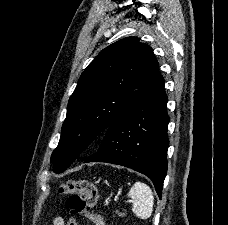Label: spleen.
Segmentation results:
<instances>
[{"label":"spleen","instance_id":"1","mask_svg":"<svg viewBox=\"0 0 228 225\" xmlns=\"http://www.w3.org/2000/svg\"><path fill=\"white\" fill-rule=\"evenodd\" d=\"M128 197L132 199V211L138 219H149L151 217L154 197L148 185H145V183H135L131 187Z\"/></svg>","mask_w":228,"mask_h":225}]
</instances>
